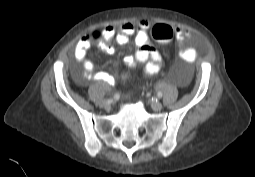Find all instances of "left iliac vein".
Returning <instances> with one entry per match:
<instances>
[{"instance_id":"4c4485c4","label":"left iliac vein","mask_w":255,"mask_h":177,"mask_svg":"<svg viewBox=\"0 0 255 177\" xmlns=\"http://www.w3.org/2000/svg\"><path fill=\"white\" fill-rule=\"evenodd\" d=\"M151 106H152V109L154 110V111H160L162 108H163V105H162V103H160V102H153L152 104H151Z\"/></svg>"}]
</instances>
